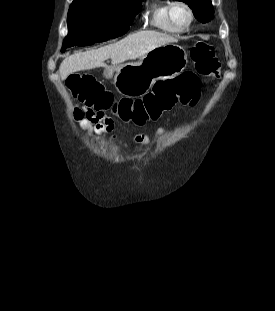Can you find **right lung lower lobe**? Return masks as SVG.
I'll use <instances>...</instances> for the list:
<instances>
[{
  "mask_svg": "<svg viewBox=\"0 0 275 311\" xmlns=\"http://www.w3.org/2000/svg\"><path fill=\"white\" fill-rule=\"evenodd\" d=\"M127 31H128V30H124V31H123V34L126 33ZM123 34H122V35H123ZM120 36H121V35H120Z\"/></svg>",
  "mask_w": 275,
  "mask_h": 311,
  "instance_id": "obj_1",
  "label": "right lung lower lobe"
}]
</instances>
